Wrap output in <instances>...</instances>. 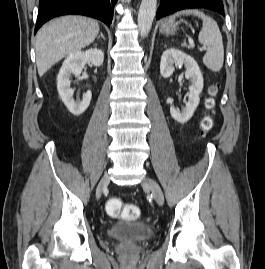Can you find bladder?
Masks as SVG:
<instances>
[{"mask_svg": "<svg viewBox=\"0 0 265 269\" xmlns=\"http://www.w3.org/2000/svg\"><path fill=\"white\" fill-rule=\"evenodd\" d=\"M154 228L145 221L119 222L109 229V236L114 239L133 241L149 240L154 236Z\"/></svg>", "mask_w": 265, "mask_h": 269, "instance_id": "31cf9c89", "label": "bladder"}]
</instances>
